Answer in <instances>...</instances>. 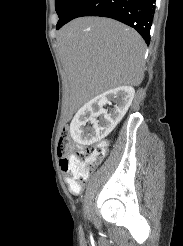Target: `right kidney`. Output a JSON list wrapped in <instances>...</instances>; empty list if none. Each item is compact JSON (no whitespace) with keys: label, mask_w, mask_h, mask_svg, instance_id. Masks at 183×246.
Listing matches in <instances>:
<instances>
[{"label":"right kidney","mask_w":183,"mask_h":246,"mask_svg":"<svg viewBox=\"0 0 183 246\" xmlns=\"http://www.w3.org/2000/svg\"><path fill=\"white\" fill-rule=\"evenodd\" d=\"M134 94L133 87L121 86L108 90L86 103L70 124L73 140L81 145H91L109 135L126 114ZM111 102L115 105L108 112L103 107L111 105ZM87 123L92 127L84 128Z\"/></svg>","instance_id":"1"}]
</instances>
